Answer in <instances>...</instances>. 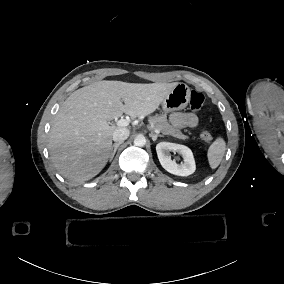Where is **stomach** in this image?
Returning <instances> with one entry per match:
<instances>
[{
  "label": "stomach",
  "mask_w": 284,
  "mask_h": 284,
  "mask_svg": "<svg viewBox=\"0 0 284 284\" xmlns=\"http://www.w3.org/2000/svg\"><path fill=\"white\" fill-rule=\"evenodd\" d=\"M190 102V88L185 83H178L163 99L162 109L165 113L182 110Z\"/></svg>",
  "instance_id": "obj_1"
}]
</instances>
